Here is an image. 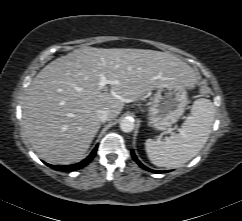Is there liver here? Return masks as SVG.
<instances>
[{
	"instance_id": "liver-1",
	"label": "liver",
	"mask_w": 242,
	"mask_h": 221,
	"mask_svg": "<svg viewBox=\"0 0 242 221\" xmlns=\"http://www.w3.org/2000/svg\"><path fill=\"white\" fill-rule=\"evenodd\" d=\"M101 75L112 83L99 88ZM196 73L176 55L146 49L83 47L46 65L23 102V131L51 164L80 161L98 132V110L116 118L124 102L163 82L193 87ZM104 91V92H103Z\"/></svg>"
}]
</instances>
